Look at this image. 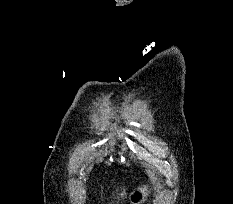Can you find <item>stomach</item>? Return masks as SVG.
Returning a JSON list of instances; mask_svg holds the SVG:
<instances>
[{"mask_svg": "<svg viewBox=\"0 0 233 204\" xmlns=\"http://www.w3.org/2000/svg\"><path fill=\"white\" fill-rule=\"evenodd\" d=\"M149 194H150V190L148 186L143 185L137 187L134 190H132V192H130L129 202L130 204H143L147 200Z\"/></svg>", "mask_w": 233, "mask_h": 204, "instance_id": "1", "label": "stomach"}]
</instances>
